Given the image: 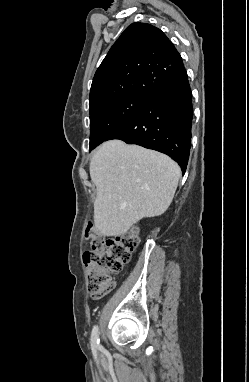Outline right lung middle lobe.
<instances>
[{"label": "right lung middle lobe", "mask_w": 249, "mask_h": 382, "mask_svg": "<svg viewBox=\"0 0 249 382\" xmlns=\"http://www.w3.org/2000/svg\"><path fill=\"white\" fill-rule=\"evenodd\" d=\"M148 99L149 97L143 95H128L90 110L89 150L128 124Z\"/></svg>", "instance_id": "obj_1"}]
</instances>
